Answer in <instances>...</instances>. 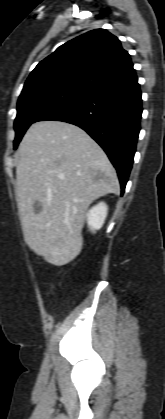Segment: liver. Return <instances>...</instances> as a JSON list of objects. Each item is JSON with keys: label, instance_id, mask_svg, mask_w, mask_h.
I'll return each mask as SVG.
<instances>
[{"label": "liver", "instance_id": "6515ba94", "mask_svg": "<svg viewBox=\"0 0 165 419\" xmlns=\"http://www.w3.org/2000/svg\"><path fill=\"white\" fill-rule=\"evenodd\" d=\"M18 155L16 196L24 240L48 263L65 265L82 249L89 205L118 193L116 171L84 130L61 121L34 123ZM35 202L41 205L39 213Z\"/></svg>", "mask_w": 165, "mask_h": 419}]
</instances>
